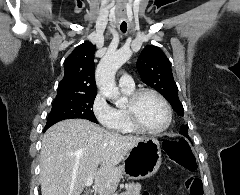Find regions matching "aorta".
I'll use <instances>...</instances> for the list:
<instances>
[{
	"label": "aorta",
	"mask_w": 240,
	"mask_h": 195,
	"mask_svg": "<svg viewBox=\"0 0 240 195\" xmlns=\"http://www.w3.org/2000/svg\"><path fill=\"white\" fill-rule=\"evenodd\" d=\"M132 54L130 50H118V52H107L104 58H101L95 72L96 86L105 96V98L117 101L121 94L116 86L115 74L127 60H130Z\"/></svg>",
	"instance_id": "762f6f07"
}]
</instances>
